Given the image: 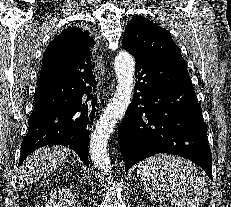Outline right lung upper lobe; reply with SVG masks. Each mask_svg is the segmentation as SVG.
<instances>
[{"label":"right lung upper lobe","instance_id":"obj_1","mask_svg":"<svg viewBox=\"0 0 231 207\" xmlns=\"http://www.w3.org/2000/svg\"><path fill=\"white\" fill-rule=\"evenodd\" d=\"M94 46L93 38L87 31L78 27H69L61 32L43 54L44 65H62L70 71L82 70L78 63L85 64L91 56L90 47Z\"/></svg>","mask_w":231,"mask_h":207}]
</instances>
